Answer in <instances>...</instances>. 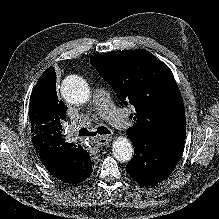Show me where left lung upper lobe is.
Returning a JSON list of instances; mask_svg holds the SVG:
<instances>
[{
  "mask_svg": "<svg viewBox=\"0 0 219 219\" xmlns=\"http://www.w3.org/2000/svg\"><path fill=\"white\" fill-rule=\"evenodd\" d=\"M91 64L109 82L123 104H131L136 122L128 137L147 139L168 148H183L185 110L171 70L146 50L95 55Z\"/></svg>",
  "mask_w": 219,
  "mask_h": 219,
  "instance_id": "obj_1",
  "label": "left lung upper lobe"
}]
</instances>
